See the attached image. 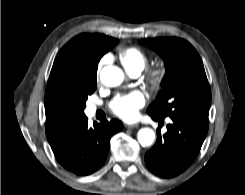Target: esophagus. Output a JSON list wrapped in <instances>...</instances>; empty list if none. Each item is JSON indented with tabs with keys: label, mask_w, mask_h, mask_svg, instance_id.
Masks as SVG:
<instances>
[{
	"label": "esophagus",
	"mask_w": 245,
	"mask_h": 195,
	"mask_svg": "<svg viewBox=\"0 0 245 195\" xmlns=\"http://www.w3.org/2000/svg\"><path fill=\"white\" fill-rule=\"evenodd\" d=\"M125 127L128 129H134V128L138 127V124H127V125H125Z\"/></svg>",
	"instance_id": "1"
}]
</instances>
